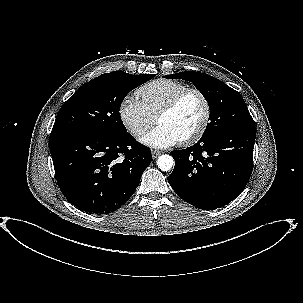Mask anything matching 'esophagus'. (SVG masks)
Masks as SVG:
<instances>
[{"instance_id":"1","label":"esophagus","mask_w":303,"mask_h":303,"mask_svg":"<svg viewBox=\"0 0 303 303\" xmlns=\"http://www.w3.org/2000/svg\"><path fill=\"white\" fill-rule=\"evenodd\" d=\"M160 154H161L160 151L153 150V151H152V158H153V159H156Z\"/></svg>"}]
</instances>
